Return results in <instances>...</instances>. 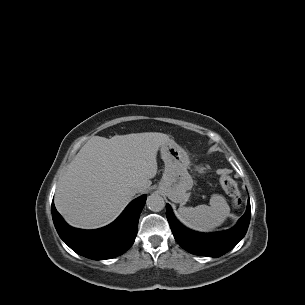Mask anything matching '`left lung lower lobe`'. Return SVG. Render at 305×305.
<instances>
[{"mask_svg": "<svg viewBox=\"0 0 305 305\" xmlns=\"http://www.w3.org/2000/svg\"><path fill=\"white\" fill-rule=\"evenodd\" d=\"M166 217L174 238L189 253L208 257H219L233 249L247 232L251 210L248 203L245 214L238 224L223 232L204 234L183 227L172 213L169 204L166 205Z\"/></svg>", "mask_w": 305, "mask_h": 305, "instance_id": "obj_1", "label": "left lung lower lobe"}]
</instances>
